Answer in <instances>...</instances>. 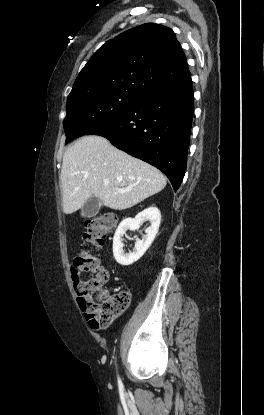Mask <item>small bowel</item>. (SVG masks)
<instances>
[{"instance_id":"obj_1","label":"small bowel","mask_w":264,"mask_h":415,"mask_svg":"<svg viewBox=\"0 0 264 415\" xmlns=\"http://www.w3.org/2000/svg\"><path fill=\"white\" fill-rule=\"evenodd\" d=\"M99 267L102 268L100 264H99ZM71 279H72L74 287L77 289L81 282L80 272H71Z\"/></svg>"}]
</instances>
